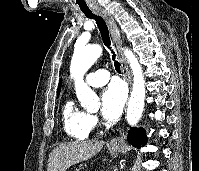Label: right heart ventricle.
<instances>
[{
  "label": "right heart ventricle",
  "instance_id": "1",
  "mask_svg": "<svg viewBox=\"0 0 199 171\" xmlns=\"http://www.w3.org/2000/svg\"><path fill=\"white\" fill-rule=\"evenodd\" d=\"M62 117L68 136L78 140L88 138L92 129L89 125V114L78 109L70 98L64 103Z\"/></svg>",
  "mask_w": 199,
  "mask_h": 171
}]
</instances>
